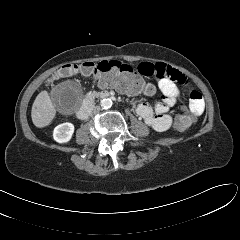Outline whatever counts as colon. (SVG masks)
Returning a JSON list of instances; mask_svg holds the SVG:
<instances>
[{"label":"colon","mask_w":240,"mask_h":240,"mask_svg":"<svg viewBox=\"0 0 240 240\" xmlns=\"http://www.w3.org/2000/svg\"><path fill=\"white\" fill-rule=\"evenodd\" d=\"M76 74L94 77L99 84L113 86L127 94L150 95L153 93L152 85L144 81L137 67L116 60L63 65L54 74L53 79ZM193 122V114L186 107H182L175 117L174 124L177 129L184 130Z\"/></svg>","instance_id":"5ec220e1"}]
</instances>
